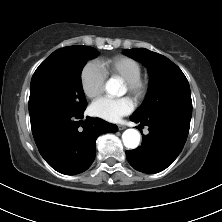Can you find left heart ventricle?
<instances>
[{
	"label": "left heart ventricle",
	"mask_w": 222,
	"mask_h": 222,
	"mask_svg": "<svg viewBox=\"0 0 222 222\" xmlns=\"http://www.w3.org/2000/svg\"><path fill=\"white\" fill-rule=\"evenodd\" d=\"M127 92V88H126V86H124V93H126Z\"/></svg>",
	"instance_id": "1"
}]
</instances>
